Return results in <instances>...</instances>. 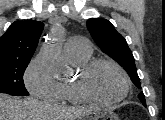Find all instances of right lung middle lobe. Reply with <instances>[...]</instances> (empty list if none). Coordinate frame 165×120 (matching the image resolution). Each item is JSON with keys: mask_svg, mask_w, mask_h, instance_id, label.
Segmentation results:
<instances>
[{"mask_svg": "<svg viewBox=\"0 0 165 120\" xmlns=\"http://www.w3.org/2000/svg\"><path fill=\"white\" fill-rule=\"evenodd\" d=\"M30 59L0 60V93L14 96H28L23 82V74Z\"/></svg>", "mask_w": 165, "mask_h": 120, "instance_id": "obj_1", "label": "right lung middle lobe"}]
</instances>
